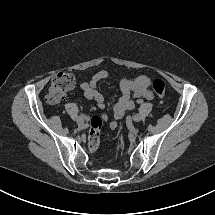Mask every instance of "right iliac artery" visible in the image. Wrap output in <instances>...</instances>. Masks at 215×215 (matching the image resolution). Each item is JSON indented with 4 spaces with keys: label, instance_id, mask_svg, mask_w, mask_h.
Instances as JSON below:
<instances>
[{
    "label": "right iliac artery",
    "instance_id": "obj_1",
    "mask_svg": "<svg viewBox=\"0 0 215 215\" xmlns=\"http://www.w3.org/2000/svg\"><path fill=\"white\" fill-rule=\"evenodd\" d=\"M80 116H81L82 118H84V119H88V117H87L86 115H84V114H80Z\"/></svg>",
    "mask_w": 215,
    "mask_h": 215
}]
</instances>
